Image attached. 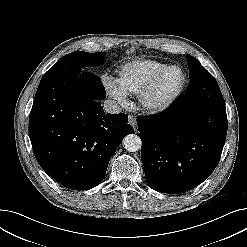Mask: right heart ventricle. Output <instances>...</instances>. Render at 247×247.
<instances>
[{
	"label": "right heart ventricle",
	"mask_w": 247,
	"mask_h": 247,
	"mask_svg": "<svg viewBox=\"0 0 247 247\" xmlns=\"http://www.w3.org/2000/svg\"><path fill=\"white\" fill-rule=\"evenodd\" d=\"M167 67L168 64L156 60H135L121 67L115 84L124 94H140L154 76Z\"/></svg>",
	"instance_id": "e07e8e85"
}]
</instances>
